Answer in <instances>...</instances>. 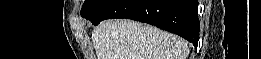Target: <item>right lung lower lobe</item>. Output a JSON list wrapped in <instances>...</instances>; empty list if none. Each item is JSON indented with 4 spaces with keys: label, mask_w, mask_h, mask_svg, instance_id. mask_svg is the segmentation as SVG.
Segmentation results:
<instances>
[{
    "label": "right lung lower lobe",
    "mask_w": 261,
    "mask_h": 59,
    "mask_svg": "<svg viewBox=\"0 0 261 59\" xmlns=\"http://www.w3.org/2000/svg\"><path fill=\"white\" fill-rule=\"evenodd\" d=\"M109 18H126L145 22L175 33L195 47L198 45L200 22L197 0H113L94 16V25Z\"/></svg>",
    "instance_id": "right-lung-lower-lobe-1"
}]
</instances>
